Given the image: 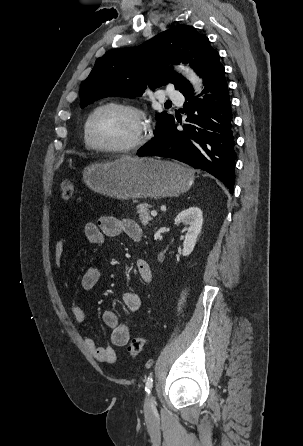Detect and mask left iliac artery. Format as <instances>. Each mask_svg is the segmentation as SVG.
<instances>
[{"label":"left iliac artery","instance_id":"44dca946","mask_svg":"<svg viewBox=\"0 0 303 446\" xmlns=\"http://www.w3.org/2000/svg\"><path fill=\"white\" fill-rule=\"evenodd\" d=\"M152 386H153V378H152V376L150 375V376H148V378H147V380H146L145 391H146L147 393H150V391H151V389H152Z\"/></svg>","mask_w":303,"mask_h":446}]
</instances>
